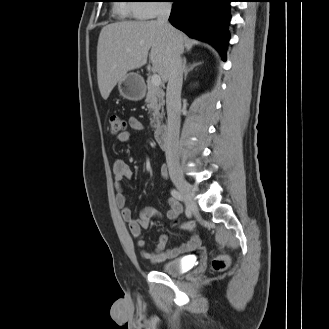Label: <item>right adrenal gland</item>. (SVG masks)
Segmentation results:
<instances>
[{"mask_svg":"<svg viewBox=\"0 0 329 329\" xmlns=\"http://www.w3.org/2000/svg\"><path fill=\"white\" fill-rule=\"evenodd\" d=\"M200 63H194L193 65H190V66H187L186 64V59L184 58L183 60V66H182V69H183V73H184V79L186 80L187 78V74L192 71L196 66L200 65Z\"/></svg>","mask_w":329,"mask_h":329,"instance_id":"2a0ac1e0","label":"right adrenal gland"}]
</instances>
